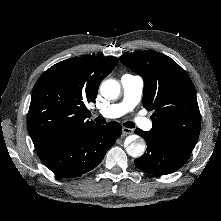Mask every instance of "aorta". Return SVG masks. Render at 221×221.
I'll return each instance as SVG.
<instances>
[{
  "label": "aorta",
  "instance_id": "762f6f07",
  "mask_svg": "<svg viewBox=\"0 0 221 221\" xmlns=\"http://www.w3.org/2000/svg\"><path fill=\"white\" fill-rule=\"evenodd\" d=\"M101 95L108 100H115L121 93L120 84L113 79L105 80L100 86ZM145 143L142 139H134L126 147L128 155L138 158L144 154Z\"/></svg>",
  "mask_w": 221,
  "mask_h": 221
}]
</instances>
